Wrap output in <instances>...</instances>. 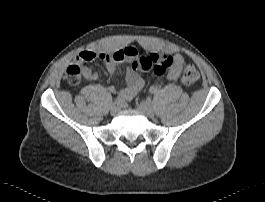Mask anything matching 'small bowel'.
I'll list each match as a JSON object with an SVG mask.
<instances>
[{
	"instance_id": "small-bowel-1",
	"label": "small bowel",
	"mask_w": 265,
	"mask_h": 202,
	"mask_svg": "<svg viewBox=\"0 0 265 202\" xmlns=\"http://www.w3.org/2000/svg\"><path fill=\"white\" fill-rule=\"evenodd\" d=\"M126 50L134 51L136 53L134 48H127ZM131 59V57H125L122 60H114L112 56L105 53L83 50L76 55L74 61L78 64H87L94 61H100L106 66L108 73L111 76L115 75L120 77L119 65L129 64ZM172 59L173 65L167 74V78L171 81H175L179 78L182 71L183 62L186 59L181 54H174ZM84 78L94 81L98 78V74L93 67L84 66ZM125 80L127 86L120 91L119 95L122 97L123 101H128L134 98L142 90L145 81L131 68L126 69ZM108 91L115 93L116 87L111 85L108 87Z\"/></svg>"
}]
</instances>
